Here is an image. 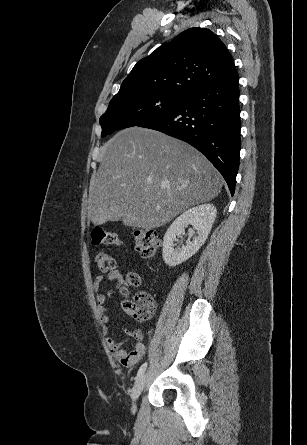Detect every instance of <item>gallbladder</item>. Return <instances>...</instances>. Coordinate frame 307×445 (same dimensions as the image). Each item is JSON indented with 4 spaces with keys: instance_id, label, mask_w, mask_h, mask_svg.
<instances>
[{
    "instance_id": "obj_1",
    "label": "gallbladder",
    "mask_w": 307,
    "mask_h": 445,
    "mask_svg": "<svg viewBox=\"0 0 307 445\" xmlns=\"http://www.w3.org/2000/svg\"><path fill=\"white\" fill-rule=\"evenodd\" d=\"M108 218H111V215H108ZM116 220H119V217H116Z\"/></svg>"
}]
</instances>
